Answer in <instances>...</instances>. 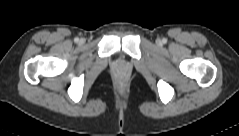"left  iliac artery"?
<instances>
[{
	"mask_svg": "<svg viewBox=\"0 0 239 136\" xmlns=\"http://www.w3.org/2000/svg\"><path fill=\"white\" fill-rule=\"evenodd\" d=\"M162 42L165 44V43H167V39L166 38H163L162 39Z\"/></svg>",
	"mask_w": 239,
	"mask_h": 136,
	"instance_id": "44dca946",
	"label": "left iliac artery"
}]
</instances>
